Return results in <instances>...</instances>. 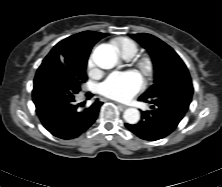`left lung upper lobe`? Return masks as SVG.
Segmentation results:
<instances>
[{
	"instance_id": "5c2ea615",
	"label": "left lung upper lobe",
	"mask_w": 222,
	"mask_h": 187,
	"mask_svg": "<svg viewBox=\"0 0 222 187\" xmlns=\"http://www.w3.org/2000/svg\"><path fill=\"white\" fill-rule=\"evenodd\" d=\"M139 42L156 63V74L153 85L141 96L152 98L162 91L170 90V98L175 99L180 96V88L184 84H192L188 69L178 54L159 38L147 34H130Z\"/></svg>"
}]
</instances>
